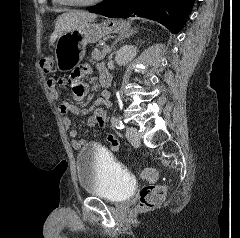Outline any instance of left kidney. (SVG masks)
I'll use <instances>...</instances> for the list:
<instances>
[{"mask_svg": "<svg viewBox=\"0 0 240 238\" xmlns=\"http://www.w3.org/2000/svg\"><path fill=\"white\" fill-rule=\"evenodd\" d=\"M137 55V48L132 45H124L116 52L115 61L119 66L126 65Z\"/></svg>", "mask_w": 240, "mask_h": 238, "instance_id": "1", "label": "left kidney"}]
</instances>
